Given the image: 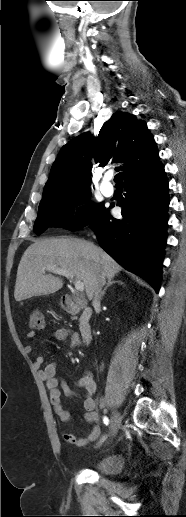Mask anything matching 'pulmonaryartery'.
<instances>
[{"label": "pulmonary artery", "instance_id": "obj_1", "mask_svg": "<svg viewBox=\"0 0 186 517\" xmlns=\"http://www.w3.org/2000/svg\"><path fill=\"white\" fill-rule=\"evenodd\" d=\"M111 175H106L100 184V190L102 194L106 197H110L114 193V189L110 183Z\"/></svg>", "mask_w": 186, "mask_h": 517}]
</instances>
